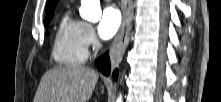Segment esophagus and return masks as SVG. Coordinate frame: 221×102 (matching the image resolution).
<instances>
[{
  "instance_id": "34e87169",
  "label": "esophagus",
  "mask_w": 221,
  "mask_h": 102,
  "mask_svg": "<svg viewBox=\"0 0 221 102\" xmlns=\"http://www.w3.org/2000/svg\"><path fill=\"white\" fill-rule=\"evenodd\" d=\"M132 17V0H123L122 25L110 49V59L113 68H115L119 64L128 46L130 31L132 27Z\"/></svg>"
}]
</instances>
